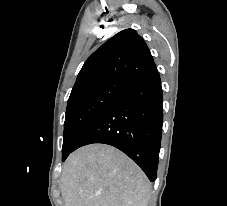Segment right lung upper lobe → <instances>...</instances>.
Returning a JSON list of instances; mask_svg holds the SVG:
<instances>
[{"mask_svg":"<svg viewBox=\"0 0 227 206\" xmlns=\"http://www.w3.org/2000/svg\"><path fill=\"white\" fill-rule=\"evenodd\" d=\"M155 66L142 37L133 29H125L106 41L86 60L72 92L108 79L128 82Z\"/></svg>","mask_w":227,"mask_h":206,"instance_id":"right-lung-upper-lobe-1","label":"right lung upper lobe"}]
</instances>
